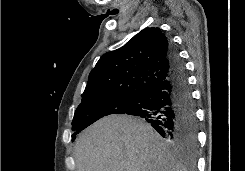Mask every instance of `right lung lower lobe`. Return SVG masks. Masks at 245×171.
Returning a JSON list of instances; mask_svg holds the SVG:
<instances>
[{"label":"right lung lower lobe","mask_w":245,"mask_h":171,"mask_svg":"<svg viewBox=\"0 0 245 171\" xmlns=\"http://www.w3.org/2000/svg\"><path fill=\"white\" fill-rule=\"evenodd\" d=\"M170 75L147 89L125 114L139 116L175 147L193 156L197 150L195 104L183 62L171 44Z\"/></svg>","instance_id":"98d812e1"}]
</instances>
